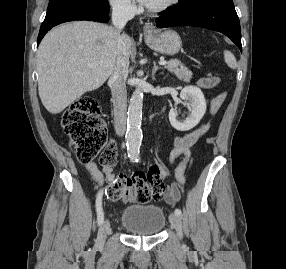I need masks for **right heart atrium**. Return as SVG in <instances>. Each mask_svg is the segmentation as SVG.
<instances>
[{
    "instance_id": "right-heart-atrium-1",
    "label": "right heart atrium",
    "mask_w": 286,
    "mask_h": 269,
    "mask_svg": "<svg viewBox=\"0 0 286 269\" xmlns=\"http://www.w3.org/2000/svg\"><path fill=\"white\" fill-rule=\"evenodd\" d=\"M110 5L117 12L131 15L136 11V6L133 0H108Z\"/></svg>"
}]
</instances>
